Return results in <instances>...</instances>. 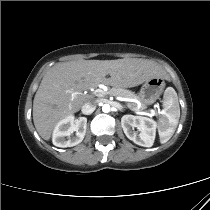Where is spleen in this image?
<instances>
[{
	"instance_id": "spleen-1",
	"label": "spleen",
	"mask_w": 210,
	"mask_h": 210,
	"mask_svg": "<svg viewBox=\"0 0 210 210\" xmlns=\"http://www.w3.org/2000/svg\"><path fill=\"white\" fill-rule=\"evenodd\" d=\"M163 115L158 121L161 143H166L174 134L180 117V107L176 91L168 87L164 92Z\"/></svg>"
}]
</instances>
